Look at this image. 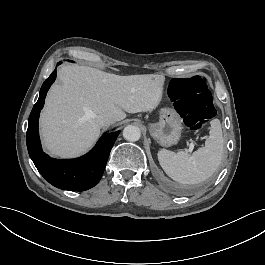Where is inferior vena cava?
<instances>
[{
	"label": "inferior vena cava",
	"instance_id": "inferior-vena-cava-1",
	"mask_svg": "<svg viewBox=\"0 0 265 265\" xmlns=\"http://www.w3.org/2000/svg\"><path fill=\"white\" fill-rule=\"evenodd\" d=\"M97 122L101 126H108L115 122V119L111 117L110 115L104 114L100 115L97 119Z\"/></svg>",
	"mask_w": 265,
	"mask_h": 265
}]
</instances>
